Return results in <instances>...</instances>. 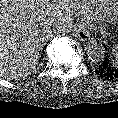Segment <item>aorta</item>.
I'll return each mask as SVG.
<instances>
[{
    "label": "aorta",
    "mask_w": 118,
    "mask_h": 118,
    "mask_svg": "<svg viewBox=\"0 0 118 118\" xmlns=\"http://www.w3.org/2000/svg\"><path fill=\"white\" fill-rule=\"evenodd\" d=\"M85 50L92 62H100L105 58L106 50L101 43L90 41L85 46Z\"/></svg>",
    "instance_id": "aorta-1"
}]
</instances>
